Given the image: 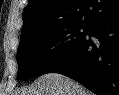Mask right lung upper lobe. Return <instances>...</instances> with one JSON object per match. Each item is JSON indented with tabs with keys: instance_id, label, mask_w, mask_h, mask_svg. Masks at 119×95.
<instances>
[{
	"instance_id": "obj_1",
	"label": "right lung upper lobe",
	"mask_w": 119,
	"mask_h": 95,
	"mask_svg": "<svg viewBox=\"0 0 119 95\" xmlns=\"http://www.w3.org/2000/svg\"><path fill=\"white\" fill-rule=\"evenodd\" d=\"M119 15V0H29L23 11L21 37L50 24H81L91 27Z\"/></svg>"
}]
</instances>
